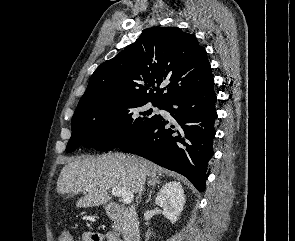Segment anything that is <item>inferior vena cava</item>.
Here are the masks:
<instances>
[{
	"instance_id": "inferior-vena-cava-1",
	"label": "inferior vena cava",
	"mask_w": 295,
	"mask_h": 241,
	"mask_svg": "<svg viewBox=\"0 0 295 241\" xmlns=\"http://www.w3.org/2000/svg\"><path fill=\"white\" fill-rule=\"evenodd\" d=\"M144 183H145V176L141 175V178H140L141 188L143 187ZM139 195H141V193H139Z\"/></svg>"
}]
</instances>
